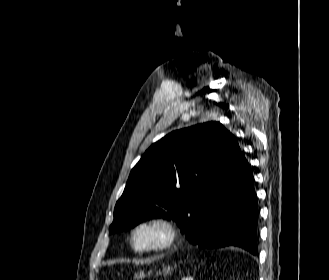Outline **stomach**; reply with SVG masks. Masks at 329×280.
Returning <instances> with one entry per match:
<instances>
[{"label":"stomach","mask_w":329,"mask_h":280,"mask_svg":"<svg viewBox=\"0 0 329 280\" xmlns=\"http://www.w3.org/2000/svg\"><path fill=\"white\" fill-rule=\"evenodd\" d=\"M163 272H164L165 274L169 273V272H170V267H166V268H164V269H163ZM136 277H138V278H142V277H144V274H143V273H140L139 275L137 274Z\"/></svg>","instance_id":"1"}]
</instances>
